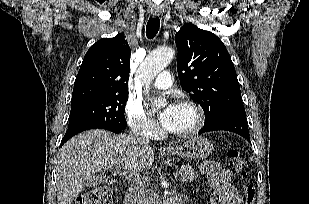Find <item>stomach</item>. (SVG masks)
I'll return each instance as SVG.
<instances>
[{"instance_id":"1","label":"stomach","mask_w":309,"mask_h":204,"mask_svg":"<svg viewBox=\"0 0 309 204\" xmlns=\"http://www.w3.org/2000/svg\"><path fill=\"white\" fill-rule=\"evenodd\" d=\"M213 150L211 141L202 136H195L188 139L180 146L171 148L168 152L172 155H179L190 159H205Z\"/></svg>"}]
</instances>
